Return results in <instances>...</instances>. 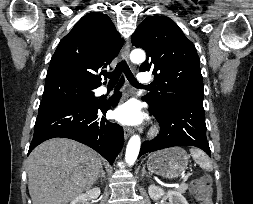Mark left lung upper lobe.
<instances>
[{"label":"left lung upper lobe","instance_id":"obj_1","mask_svg":"<svg viewBox=\"0 0 253 204\" xmlns=\"http://www.w3.org/2000/svg\"><path fill=\"white\" fill-rule=\"evenodd\" d=\"M146 51L139 71H152L155 89L144 97L158 112L174 104L203 101L200 60L193 43L166 16L147 17L131 36Z\"/></svg>","mask_w":253,"mask_h":204}]
</instances>
